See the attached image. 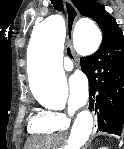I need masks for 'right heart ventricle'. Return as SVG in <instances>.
<instances>
[{"label": "right heart ventricle", "instance_id": "1", "mask_svg": "<svg viewBox=\"0 0 124 149\" xmlns=\"http://www.w3.org/2000/svg\"><path fill=\"white\" fill-rule=\"evenodd\" d=\"M61 129H63V127L56 123L49 112H41L34 115L30 119L28 126V131L31 134L39 136L52 135Z\"/></svg>", "mask_w": 124, "mask_h": 149}]
</instances>
